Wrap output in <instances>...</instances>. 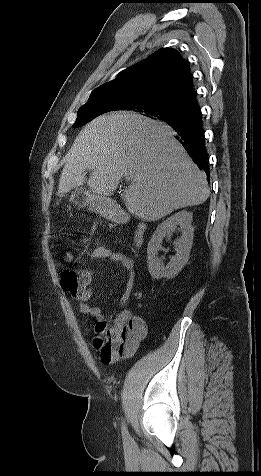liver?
<instances>
[{
  "instance_id": "obj_1",
  "label": "liver",
  "mask_w": 261,
  "mask_h": 476,
  "mask_svg": "<svg viewBox=\"0 0 261 476\" xmlns=\"http://www.w3.org/2000/svg\"><path fill=\"white\" fill-rule=\"evenodd\" d=\"M173 135L168 125L133 112L95 118L65 156L58 195L87 183L94 193L109 196L124 177L131 184L122 199L142 220L204 203L210 194L206 174ZM86 170H92L89 179Z\"/></svg>"
}]
</instances>
